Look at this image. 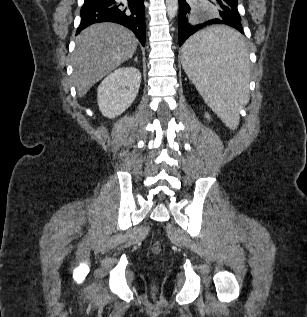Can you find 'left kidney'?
I'll return each mask as SVG.
<instances>
[{
  "instance_id": "obj_1",
  "label": "left kidney",
  "mask_w": 307,
  "mask_h": 317,
  "mask_svg": "<svg viewBox=\"0 0 307 317\" xmlns=\"http://www.w3.org/2000/svg\"><path fill=\"white\" fill-rule=\"evenodd\" d=\"M205 117H206L207 119H210V115H209L208 113L205 114Z\"/></svg>"
}]
</instances>
